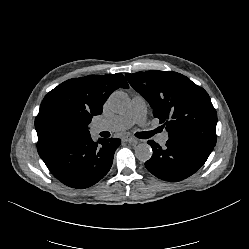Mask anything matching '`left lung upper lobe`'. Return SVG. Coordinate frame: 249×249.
<instances>
[{
	"label": "left lung upper lobe",
	"mask_w": 249,
	"mask_h": 249,
	"mask_svg": "<svg viewBox=\"0 0 249 249\" xmlns=\"http://www.w3.org/2000/svg\"><path fill=\"white\" fill-rule=\"evenodd\" d=\"M130 85L151 105L169 138L216 144L217 114L208 93L186 76L171 71L127 73Z\"/></svg>",
	"instance_id": "1"
}]
</instances>
